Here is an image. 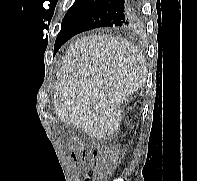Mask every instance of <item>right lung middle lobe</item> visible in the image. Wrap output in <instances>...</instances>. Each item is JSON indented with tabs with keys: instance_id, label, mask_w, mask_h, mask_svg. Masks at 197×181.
<instances>
[{
	"instance_id": "right-lung-middle-lobe-1",
	"label": "right lung middle lobe",
	"mask_w": 197,
	"mask_h": 181,
	"mask_svg": "<svg viewBox=\"0 0 197 181\" xmlns=\"http://www.w3.org/2000/svg\"><path fill=\"white\" fill-rule=\"evenodd\" d=\"M86 10V8H79L76 10H69L65 17L63 18L62 25H61V31L59 32L55 45H54V53L60 48V46L63 44L65 38L68 35V32L72 28L75 21L78 19V17ZM115 28V27H112Z\"/></svg>"
}]
</instances>
